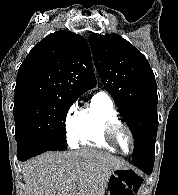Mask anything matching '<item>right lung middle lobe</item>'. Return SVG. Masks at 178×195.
<instances>
[{
	"instance_id": "right-lung-middle-lobe-1",
	"label": "right lung middle lobe",
	"mask_w": 178,
	"mask_h": 195,
	"mask_svg": "<svg viewBox=\"0 0 178 195\" xmlns=\"http://www.w3.org/2000/svg\"><path fill=\"white\" fill-rule=\"evenodd\" d=\"M76 99L43 94L16 96L13 114L17 145L66 142L65 120Z\"/></svg>"
}]
</instances>
